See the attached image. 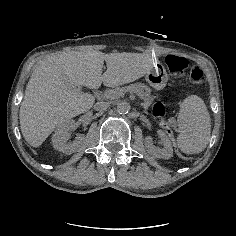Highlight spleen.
Listing matches in <instances>:
<instances>
[{
    "mask_svg": "<svg viewBox=\"0 0 236 236\" xmlns=\"http://www.w3.org/2000/svg\"><path fill=\"white\" fill-rule=\"evenodd\" d=\"M177 144L186 154L202 152L211 133V119L204 101L197 95L185 98L178 115Z\"/></svg>",
    "mask_w": 236,
    "mask_h": 236,
    "instance_id": "spleen-1",
    "label": "spleen"
}]
</instances>
